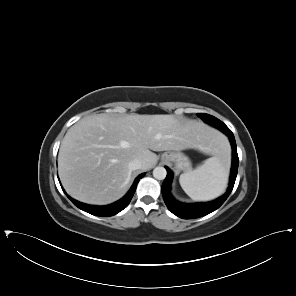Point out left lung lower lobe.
Segmentation results:
<instances>
[{"label": "left lung lower lobe", "instance_id": "left-lung-lower-lobe-1", "mask_svg": "<svg viewBox=\"0 0 296 296\" xmlns=\"http://www.w3.org/2000/svg\"><path fill=\"white\" fill-rule=\"evenodd\" d=\"M219 130L224 132L229 137V140L232 146V167H231V174H230V182H229V187L227 192L222 197L211 202L196 203V204H186V203H181L176 201L170 193L173 173L168 167H166L167 176L162 184V195L168 209L173 214H175L180 218H184V219L198 218L215 211L224 203V201L228 198V196L230 195L233 189L236 176H237L238 164H239L236 142H235L234 135L229 128L220 127Z\"/></svg>", "mask_w": 296, "mask_h": 296}]
</instances>
